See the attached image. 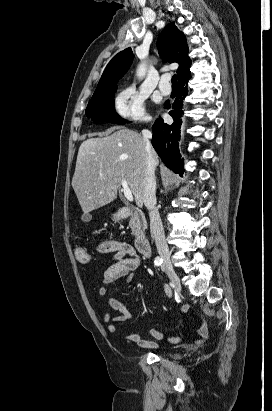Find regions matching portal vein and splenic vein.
<instances>
[{
	"label": "portal vein and splenic vein",
	"instance_id": "18ae733b",
	"mask_svg": "<svg viewBox=\"0 0 272 411\" xmlns=\"http://www.w3.org/2000/svg\"><path fill=\"white\" fill-rule=\"evenodd\" d=\"M121 185H122V191H123V193H124L125 198H126L128 201H133V195H132V192H131V190H130V188H129V186H128V183L126 182V180H122V181H121Z\"/></svg>",
	"mask_w": 272,
	"mask_h": 411
}]
</instances>
